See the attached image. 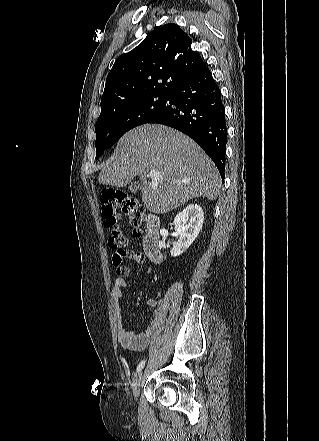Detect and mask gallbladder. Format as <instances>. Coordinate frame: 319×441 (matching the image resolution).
I'll use <instances>...</instances> for the list:
<instances>
[{
	"label": "gallbladder",
	"mask_w": 319,
	"mask_h": 441,
	"mask_svg": "<svg viewBox=\"0 0 319 441\" xmlns=\"http://www.w3.org/2000/svg\"><path fill=\"white\" fill-rule=\"evenodd\" d=\"M139 188H140V185H139L138 182H132V183L129 185V190H130L131 192H136Z\"/></svg>",
	"instance_id": "gallbladder-1"
}]
</instances>
